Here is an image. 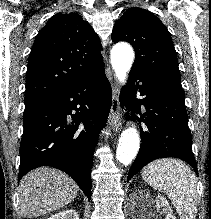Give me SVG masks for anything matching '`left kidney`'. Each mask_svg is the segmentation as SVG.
<instances>
[{"instance_id": "left-kidney-1", "label": "left kidney", "mask_w": 211, "mask_h": 219, "mask_svg": "<svg viewBox=\"0 0 211 219\" xmlns=\"http://www.w3.org/2000/svg\"><path fill=\"white\" fill-rule=\"evenodd\" d=\"M139 193L143 194L142 192ZM141 198L143 202L141 204L143 206H145V200L148 202V205L146 206H150V209L145 212L144 218L157 219L160 214H164V219H176L172 213L168 201L163 196L158 195L156 199L153 200L148 193L144 192V195H142Z\"/></svg>"}]
</instances>
